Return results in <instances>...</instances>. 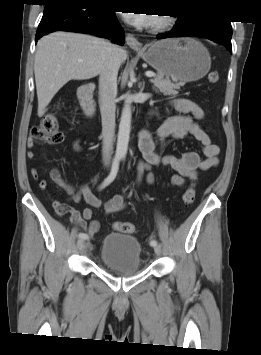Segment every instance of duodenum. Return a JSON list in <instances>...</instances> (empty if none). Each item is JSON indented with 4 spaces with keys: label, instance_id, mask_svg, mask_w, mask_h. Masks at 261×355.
<instances>
[{
    "label": "duodenum",
    "instance_id": "duodenum-1",
    "mask_svg": "<svg viewBox=\"0 0 261 355\" xmlns=\"http://www.w3.org/2000/svg\"><path fill=\"white\" fill-rule=\"evenodd\" d=\"M95 85L92 83L85 84L80 87L78 91V98L85 115L88 118H93L95 116V104L93 100V92Z\"/></svg>",
    "mask_w": 261,
    "mask_h": 355
}]
</instances>
